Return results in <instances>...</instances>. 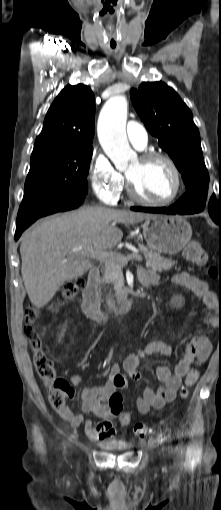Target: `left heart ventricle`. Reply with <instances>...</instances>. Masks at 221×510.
<instances>
[{"label": "left heart ventricle", "mask_w": 221, "mask_h": 510, "mask_svg": "<svg viewBox=\"0 0 221 510\" xmlns=\"http://www.w3.org/2000/svg\"><path fill=\"white\" fill-rule=\"evenodd\" d=\"M126 174L133 181L139 195L149 200L167 199L175 188L174 174L162 160L144 163L137 159Z\"/></svg>", "instance_id": "obj_1"}]
</instances>
